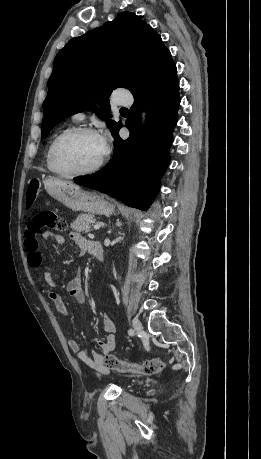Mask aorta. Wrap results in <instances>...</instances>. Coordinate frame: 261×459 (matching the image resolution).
Returning <instances> with one entry per match:
<instances>
[{
	"label": "aorta",
	"mask_w": 261,
	"mask_h": 459,
	"mask_svg": "<svg viewBox=\"0 0 261 459\" xmlns=\"http://www.w3.org/2000/svg\"><path fill=\"white\" fill-rule=\"evenodd\" d=\"M142 121H143V123H144V121H145V114H144V113H143V115H142Z\"/></svg>",
	"instance_id": "762f6f07"
}]
</instances>
